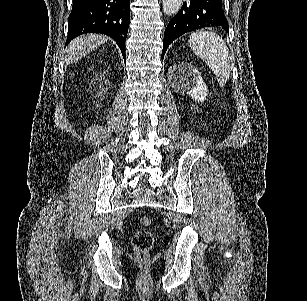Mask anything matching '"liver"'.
I'll return each mask as SVG.
<instances>
[{
  "label": "liver",
  "instance_id": "liver-1",
  "mask_svg": "<svg viewBox=\"0 0 307 301\" xmlns=\"http://www.w3.org/2000/svg\"><path fill=\"white\" fill-rule=\"evenodd\" d=\"M109 36H104V34H81V36H76L65 50V62L71 64V62H78L83 56H87L89 52L98 48L100 44L107 42Z\"/></svg>",
  "mask_w": 307,
  "mask_h": 301
}]
</instances>
